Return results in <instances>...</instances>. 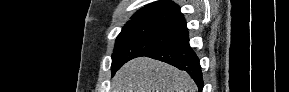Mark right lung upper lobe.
I'll return each instance as SVG.
<instances>
[{
    "instance_id": "obj_1",
    "label": "right lung upper lobe",
    "mask_w": 289,
    "mask_h": 92,
    "mask_svg": "<svg viewBox=\"0 0 289 92\" xmlns=\"http://www.w3.org/2000/svg\"><path fill=\"white\" fill-rule=\"evenodd\" d=\"M153 20L186 26L180 7L169 0L150 3L137 11L131 20Z\"/></svg>"
}]
</instances>
